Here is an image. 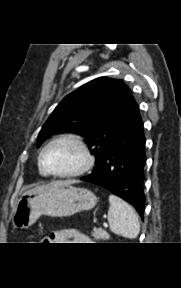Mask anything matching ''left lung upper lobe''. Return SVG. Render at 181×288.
<instances>
[{
	"label": "left lung upper lobe",
	"instance_id": "1",
	"mask_svg": "<svg viewBox=\"0 0 181 288\" xmlns=\"http://www.w3.org/2000/svg\"><path fill=\"white\" fill-rule=\"evenodd\" d=\"M134 101L122 80L96 78L59 103L39 132L37 147L53 134H79L86 138L96 168L121 132Z\"/></svg>",
	"mask_w": 181,
	"mask_h": 288
}]
</instances>
